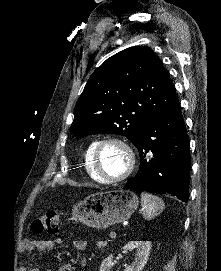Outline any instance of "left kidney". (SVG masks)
I'll list each match as a JSON object with an SVG mask.
<instances>
[{"label":"left kidney","mask_w":221,"mask_h":271,"mask_svg":"<svg viewBox=\"0 0 221 271\" xmlns=\"http://www.w3.org/2000/svg\"><path fill=\"white\" fill-rule=\"evenodd\" d=\"M151 241H128L123 247L122 251H128V249H135L134 261L130 265H125L124 271H142L150 253ZM114 265L113 255L110 253L108 257H105L101 263L100 271H111V267Z\"/></svg>","instance_id":"1"}]
</instances>
